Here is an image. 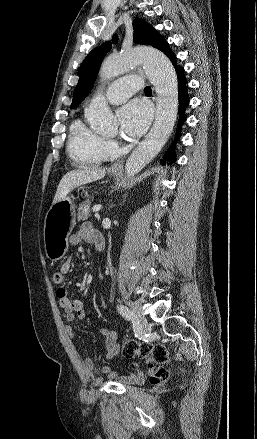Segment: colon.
I'll use <instances>...</instances> for the list:
<instances>
[{
    "mask_svg": "<svg viewBox=\"0 0 257 439\" xmlns=\"http://www.w3.org/2000/svg\"><path fill=\"white\" fill-rule=\"evenodd\" d=\"M53 281L56 284L62 283L63 275L60 272H56L53 276ZM122 354L126 358L139 356L147 360V377L151 384L159 385L168 379L169 373L166 365L169 362V354L165 347L127 340L122 345Z\"/></svg>",
    "mask_w": 257,
    "mask_h": 439,
    "instance_id": "5ec220e1",
    "label": "colon"
}]
</instances>
